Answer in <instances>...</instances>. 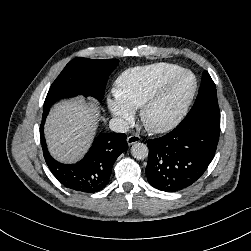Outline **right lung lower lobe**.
Listing matches in <instances>:
<instances>
[{
    "label": "right lung lower lobe",
    "instance_id": "1",
    "mask_svg": "<svg viewBox=\"0 0 251 251\" xmlns=\"http://www.w3.org/2000/svg\"><path fill=\"white\" fill-rule=\"evenodd\" d=\"M49 109L43 110L40 137L45 161L66 188L77 192L94 193L109 182L112 167L118 156L128 149L123 133H103L98 135L84 158L76 164H62L50 155L44 138V123Z\"/></svg>",
    "mask_w": 251,
    "mask_h": 251
}]
</instances>
